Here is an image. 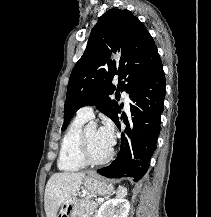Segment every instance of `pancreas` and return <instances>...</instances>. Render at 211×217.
<instances>
[{"instance_id": "obj_1", "label": "pancreas", "mask_w": 211, "mask_h": 217, "mask_svg": "<svg viewBox=\"0 0 211 217\" xmlns=\"http://www.w3.org/2000/svg\"><path fill=\"white\" fill-rule=\"evenodd\" d=\"M101 203L89 197L79 201V217H91Z\"/></svg>"}]
</instances>
